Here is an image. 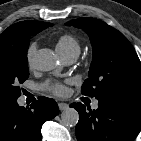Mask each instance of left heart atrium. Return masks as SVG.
I'll list each match as a JSON object with an SVG mask.
<instances>
[{
	"label": "left heart atrium",
	"mask_w": 141,
	"mask_h": 141,
	"mask_svg": "<svg viewBox=\"0 0 141 141\" xmlns=\"http://www.w3.org/2000/svg\"><path fill=\"white\" fill-rule=\"evenodd\" d=\"M42 89L48 91L56 96H64L67 93V89L64 84L57 82L47 81L42 84Z\"/></svg>",
	"instance_id": "obj_1"
}]
</instances>
